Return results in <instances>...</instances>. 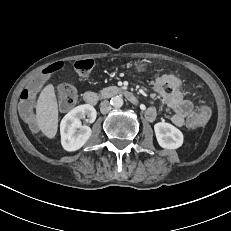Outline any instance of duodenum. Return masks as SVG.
<instances>
[{
  "mask_svg": "<svg viewBox=\"0 0 231 231\" xmlns=\"http://www.w3.org/2000/svg\"><path fill=\"white\" fill-rule=\"evenodd\" d=\"M117 95H123L132 103H137L136 96L130 91L117 86L103 88L100 92L89 91L85 93L84 100L89 105H96L102 99H108Z\"/></svg>",
  "mask_w": 231,
  "mask_h": 231,
  "instance_id": "obj_1",
  "label": "duodenum"
}]
</instances>
